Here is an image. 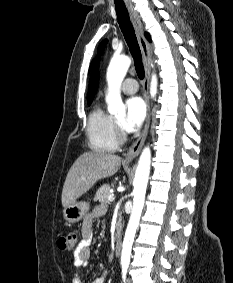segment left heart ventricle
Returning a JSON list of instances; mask_svg holds the SVG:
<instances>
[{
	"label": "left heart ventricle",
	"instance_id": "1",
	"mask_svg": "<svg viewBox=\"0 0 233 283\" xmlns=\"http://www.w3.org/2000/svg\"><path fill=\"white\" fill-rule=\"evenodd\" d=\"M123 119H124V118L121 116V117H118V118H117V121L122 124V123H123Z\"/></svg>",
	"mask_w": 233,
	"mask_h": 283
}]
</instances>
